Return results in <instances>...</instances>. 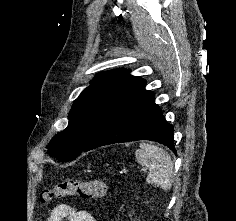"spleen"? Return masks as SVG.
I'll return each instance as SVG.
<instances>
[{"label":"spleen","mask_w":236,"mask_h":221,"mask_svg":"<svg viewBox=\"0 0 236 221\" xmlns=\"http://www.w3.org/2000/svg\"><path fill=\"white\" fill-rule=\"evenodd\" d=\"M139 149L135 152L136 160L142 166L149 169L150 173L146 178L147 183L159 186L168 190L173 181V161L168 152L164 149L141 142Z\"/></svg>","instance_id":"1"}]
</instances>
